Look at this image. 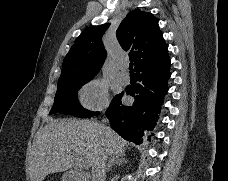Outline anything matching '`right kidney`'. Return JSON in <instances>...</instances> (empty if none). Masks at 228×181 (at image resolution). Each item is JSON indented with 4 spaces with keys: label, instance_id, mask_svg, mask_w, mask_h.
Returning a JSON list of instances; mask_svg holds the SVG:
<instances>
[{
    "label": "right kidney",
    "instance_id": "obj_1",
    "mask_svg": "<svg viewBox=\"0 0 228 181\" xmlns=\"http://www.w3.org/2000/svg\"><path fill=\"white\" fill-rule=\"evenodd\" d=\"M118 179H119V175H115L114 181H118Z\"/></svg>",
    "mask_w": 228,
    "mask_h": 181
}]
</instances>
